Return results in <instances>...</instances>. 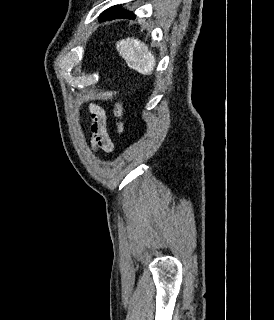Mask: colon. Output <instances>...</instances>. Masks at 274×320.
<instances>
[{"mask_svg": "<svg viewBox=\"0 0 274 320\" xmlns=\"http://www.w3.org/2000/svg\"><path fill=\"white\" fill-rule=\"evenodd\" d=\"M116 112H117V114L121 115L123 112V107L120 105Z\"/></svg>", "mask_w": 274, "mask_h": 320, "instance_id": "colon-1", "label": "colon"}]
</instances>
